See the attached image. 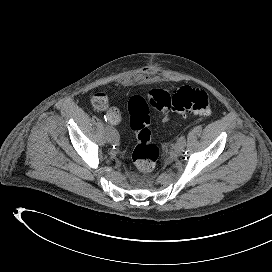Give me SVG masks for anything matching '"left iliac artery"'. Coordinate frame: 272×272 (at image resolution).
Instances as JSON below:
<instances>
[{"label":"left iliac artery","instance_id":"obj_1","mask_svg":"<svg viewBox=\"0 0 272 272\" xmlns=\"http://www.w3.org/2000/svg\"><path fill=\"white\" fill-rule=\"evenodd\" d=\"M177 144H178L181 148H183V147L185 146V144H186V139H185V136H184L183 134H182V135L180 136V138L178 139Z\"/></svg>","mask_w":272,"mask_h":272}]
</instances>
